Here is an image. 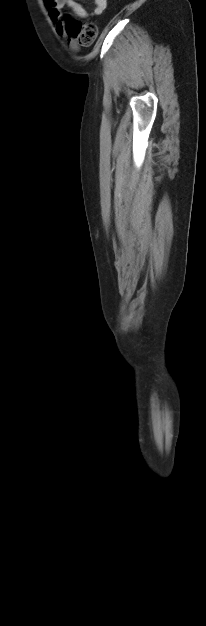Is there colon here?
Here are the masks:
<instances>
[{
  "instance_id": "obj_1",
  "label": "colon",
  "mask_w": 206,
  "mask_h": 626,
  "mask_svg": "<svg viewBox=\"0 0 206 626\" xmlns=\"http://www.w3.org/2000/svg\"><path fill=\"white\" fill-rule=\"evenodd\" d=\"M67 32L78 40L82 46H90L96 39L97 26L94 23H82L74 18L67 22Z\"/></svg>"
}]
</instances>
